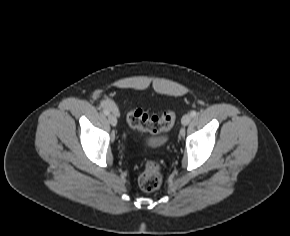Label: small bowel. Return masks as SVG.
<instances>
[{
    "mask_svg": "<svg viewBox=\"0 0 290 236\" xmlns=\"http://www.w3.org/2000/svg\"><path fill=\"white\" fill-rule=\"evenodd\" d=\"M102 106L109 109L110 111L116 113L117 107L114 105V103L110 100H105L102 102Z\"/></svg>",
    "mask_w": 290,
    "mask_h": 236,
    "instance_id": "1",
    "label": "small bowel"
}]
</instances>
